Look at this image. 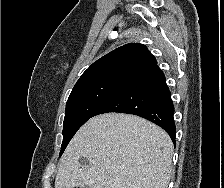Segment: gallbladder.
I'll return each mask as SVG.
<instances>
[{"label": "gallbladder", "mask_w": 224, "mask_h": 188, "mask_svg": "<svg viewBox=\"0 0 224 188\" xmlns=\"http://www.w3.org/2000/svg\"><path fill=\"white\" fill-rule=\"evenodd\" d=\"M80 188H88L87 186H81Z\"/></svg>", "instance_id": "obj_1"}]
</instances>
